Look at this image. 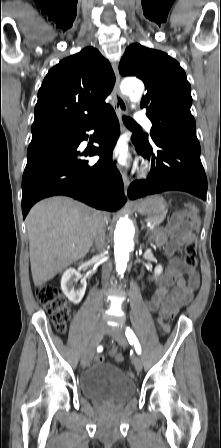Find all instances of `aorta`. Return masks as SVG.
<instances>
[{
  "instance_id": "aorta-1",
  "label": "aorta",
  "mask_w": 221,
  "mask_h": 448,
  "mask_svg": "<svg viewBox=\"0 0 221 448\" xmlns=\"http://www.w3.org/2000/svg\"><path fill=\"white\" fill-rule=\"evenodd\" d=\"M144 86L138 79H125L121 84V91L129 95L132 102H139ZM135 228L128 218L117 222L114 232V253L116 271L122 275L134 248Z\"/></svg>"
}]
</instances>
